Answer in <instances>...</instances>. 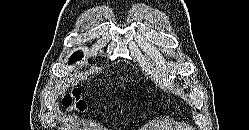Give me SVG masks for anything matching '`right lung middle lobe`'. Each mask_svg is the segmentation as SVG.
<instances>
[{
  "label": "right lung middle lobe",
  "mask_w": 249,
  "mask_h": 130,
  "mask_svg": "<svg viewBox=\"0 0 249 130\" xmlns=\"http://www.w3.org/2000/svg\"><path fill=\"white\" fill-rule=\"evenodd\" d=\"M82 57H83V54H82L81 52H75V53L71 56V58H70L68 64L74 63V62L80 60Z\"/></svg>",
  "instance_id": "dd1d6c3e"
}]
</instances>
